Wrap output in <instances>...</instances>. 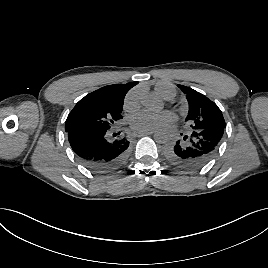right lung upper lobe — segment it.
Here are the masks:
<instances>
[{"label":"right lung upper lobe","mask_w":268,"mask_h":268,"mask_svg":"<svg viewBox=\"0 0 268 268\" xmlns=\"http://www.w3.org/2000/svg\"><path fill=\"white\" fill-rule=\"evenodd\" d=\"M136 84H138V82L108 85L88 94L87 96H95L106 102L123 103L126 93Z\"/></svg>","instance_id":"right-lung-upper-lobe-1"}]
</instances>
